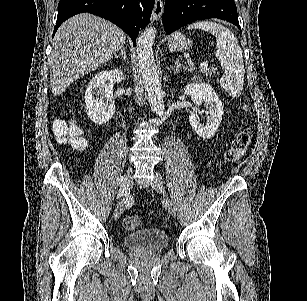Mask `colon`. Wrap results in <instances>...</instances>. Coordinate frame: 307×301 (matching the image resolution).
I'll use <instances>...</instances> for the list:
<instances>
[{
    "mask_svg": "<svg viewBox=\"0 0 307 301\" xmlns=\"http://www.w3.org/2000/svg\"><path fill=\"white\" fill-rule=\"evenodd\" d=\"M54 133L60 143H68L75 148H83L87 141L83 136L82 130L71 122L56 120L53 125ZM251 143V136L248 132H241L231 143L225 153V160L228 163L238 161L248 150ZM144 219L137 215H129L124 220L127 230L133 231L141 228Z\"/></svg>",
    "mask_w": 307,
    "mask_h": 301,
    "instance_id": "5ec220e1",
    "label": "colon"
}]
</instances>
